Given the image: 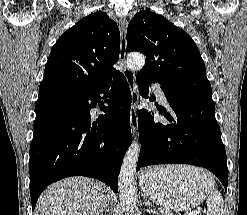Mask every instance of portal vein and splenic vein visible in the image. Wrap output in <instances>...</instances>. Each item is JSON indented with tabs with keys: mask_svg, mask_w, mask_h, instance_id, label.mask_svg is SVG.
Listing matches in <instances>:
<instances>
[{
	"mask_svg": "<svg viewBox=\"0 0 247 215\" xmlns=\"http://www.w3.org/2000/svg\"><path fill=\"white\" fill-rule=\"evenodd\" d=\"M202 212H206V211H205V210H203ZM189 215H193V214H191V213H190ZM194 215H195V214H194Z\"/></svg>",
	"mask_w": 247,
	"mask_h": 215,
	"instance_id": "portal-vein-and-splenic-vein-1",
	"label": "portal vein and splenic vein"
}]
</instances>
